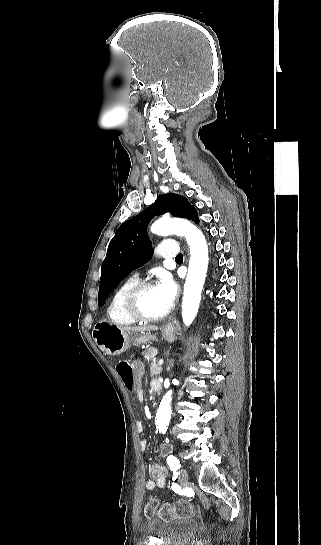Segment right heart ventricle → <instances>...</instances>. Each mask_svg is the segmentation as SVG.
Segmentation results:
<instances>
[{
  "instance_id": "right-heart-ventricle-1",
  "label": "right heart ventricle",
  "mask_w": 321,
  "mask_h": 545,
  "mask_svg": "<svg viewBox=\"0 0 321 545\" xmlns=\"http://www.w3.org/2000/svg\"><path fill=\"white\" fill-rule=\"evenodd\" d=\"M137 282L136 277L130 276L123 280L112 294L106 308V314L111 325L122 328L133 324L122 312V298L125 292Z\"/></svg>"
}]
</instances>
